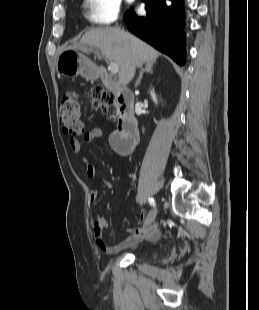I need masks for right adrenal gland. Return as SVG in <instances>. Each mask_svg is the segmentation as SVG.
<instances>
[{
	"instance_id": "obj_1",
	"label": "right adrenal gland",
	"mask_w": 259,
	"mask_h": 310,
	"mask_svg": "<svg viewBox=\"0 0 259 310\" xmlns=\"http://www.w3.org/2000/svg\"><path fill=\"white\" fill-rule=\"evenodd\" d=\"M155 62H147L145 64V67L142 68L141 72H140V75L138 77V79L136 80V83H135V86L137 87L140 83H141V79L143 77V73L144 72H147V73H153V70H152V67L154 65Z\"/></svg>"
}]
</instances>
